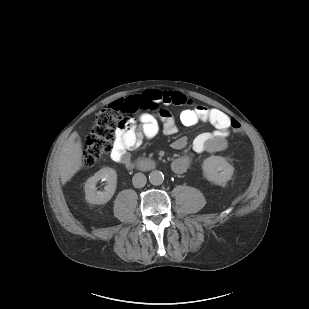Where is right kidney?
<instances>
[{"mask_svg":"<svg viewBox=\"0 0 309 309\" xmlns=\"http://www.w3.org/2000/svg\"><path fill=\"white\" fill-rule=\"evenodd\" d=\"M99 180L107 182L104 191H96V183ZM117 187V174L112 168H102L90 177L85 184V199L92 204L107 203L114 195Z\"/></svg>","mask_w":309,"mask_h":309,"instance_id":"1","label":"right kidney"}]
</instances>
